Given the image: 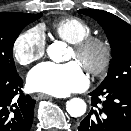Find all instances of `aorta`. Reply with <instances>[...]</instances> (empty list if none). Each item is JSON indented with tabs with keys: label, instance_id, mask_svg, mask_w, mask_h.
I'll return each instance as SVG.
<instances>
[{
	"label": "aorta",
	"instance_id": "obj_1",
	"mask_svg": "<svg viewBox=\"0 0 131 131\" xmlns=\"http://www.w3.org/2000/svg\"><path fill=\"white\" fill-rule=\"evenodd\" d=\"M64 46L59 43H52L48 47V55L54 61H60L64 53ZM87 105L81 98H72L66 103V110L72 117H81L86 112Z\"/></svg>",
	"mask_w": 131,
	"mask_h": 131
}]
</instances>
